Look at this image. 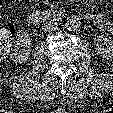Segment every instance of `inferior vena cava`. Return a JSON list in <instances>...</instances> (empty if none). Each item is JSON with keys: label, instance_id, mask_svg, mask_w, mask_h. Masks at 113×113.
Instances as JSON below:
<instances>
[{"label": "inferior vena cava", "instance_id": "inferior-vena-cava-1", "mask_svg": "<svg viewBox=\"0 0 113 113\" xmlns=\"http://www.w3.org/2000/svg\"><path fill=\"white\" fill-rule=\"evenodd\" d=\"M58 23L55 21H46L42 24V30L44 32H50L57 29Z\"/></svg>", "mask_w": 113, "mask_h": 113}]
</instances>
